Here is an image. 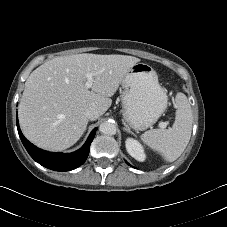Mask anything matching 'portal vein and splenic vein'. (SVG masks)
Returning a JSON list of instances; mask_svg holds the SVG:
<instances>
[{"instance_id":"obj_1","label":"portal vein and splenic vein","mask_w":227,"mask_h":227,"mask_svg":"<svg viewBox=\"0 0 227 227\" xmlns=\"http://www.w3.org/2000/svg\"><path fill=\"white\" fill-rule=\"evenodd\" d=\"M94 75L92 73H86V78H87V81L85 83V86L86 88H91L92 85H93V82H94ZM159 127L161 128H166L167 127V123L166 122H160L159 123Z\"/></svg>"}]
</instances>
